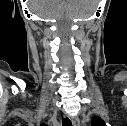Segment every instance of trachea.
<instances>
[{
    "instance_id": "trachea-1",
    "label": "trachea",
    "mask_w": 127,
    "mask_h": 126,
    "mask_svg": "<svg viewBox=\"0 0 127 126\" xmlns=\"http://www.w3.org/2000/svg\"><path fill=\"white\" fill-rule=\"evenodd\" d=\"M62 125L63 126H72V123L69 120V118H64L63 121H62Z\"/></svg>"
}]
</instances>
